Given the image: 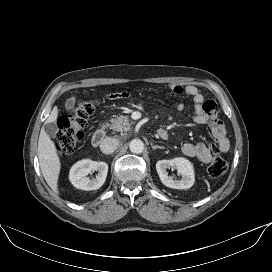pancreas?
I'll return each instance as SVG.
<instances>
[{
    "label": "pancreas",
    "instance_id": "1",
    "mask_svg": "<svg viewBox=\"0 0 272 272\" xmlns=\"http://www.w3.org/2000/svg\"><path fill=\"white\" fill-rule=\"evenodd\" d=\"M132 122H130L128 116L119 115L114 119H111V128L117 132H126L130 129Z\"/></svg>",
    "mask_w": 272,
    "mask_h": 272
}]
</instances>
